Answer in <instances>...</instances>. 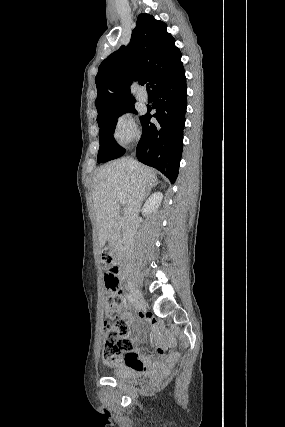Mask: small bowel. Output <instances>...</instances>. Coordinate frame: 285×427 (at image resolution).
Instances as JSON below:
<instances>
[{
	"instance_id": "small-bowel-1",
	"label": "small bowel",
	"mask_w": 285,
	"mask_h": 427,
	"mask_svg": "<svg viewBox=\"0 0 285 427\" xmlns=\"http://www.w3.org/2000/svg\"><path fill=\"white\" fill-rule=\"evenodd\" d=\"M122 316L128 323L137 322L140 326H144V325L154 326L156 324V322L152 318L144 317L141 315H139L136 319L133 320L130 317V313L127 306L124 307L122 311ZM138 340H139L138 337L132 338L133 343H137ZM163 344L169 347V345H167L166 343V340L163 341ZM178 357H179L178 353H173L168 357H164V356L161 357L158 361H152L146 358L143 354L139 353L138 351L132 350L131 353L124 354L116 364L134 366L136 362L141 361L145 365L144 368H146L151 372H156L160 369H164L166 367H170L174 365Z\"/></svg>"
}]
</instances>
